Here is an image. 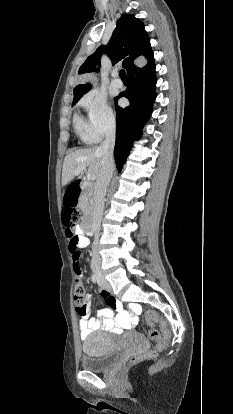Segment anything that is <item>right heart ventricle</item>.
Masks as SVG:
<instances>
[{
	"label": "right heart ventricle",
	"instance_id": "e07e8e85",
	"mask_svg": "<svg viewBox=\"0 0 233 414\" xmlns=\"http://www.w3.org/2000/svg\"><path fill=\"white\" fill-rule=\"evenodd\" d=\"M74 127L76 130V133L84 139L85 133H86V123L83 121V119L76 115L74 117Z\"/></svg>",
	"mask_w": 233,
	"mask_h": 414
}]
</instances>
